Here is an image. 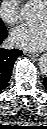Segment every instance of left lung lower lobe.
Listing matches in <instances>:
<instances>
[{
  "instance_id": "1",
  "label": "left lung lower lobe",
  "mask_w": 47,
  "mask_h": 129,
  "mask_svg": "<svg viewBox=\"0 0 47 129\" xmlns=\"http://www.w3.org/2000/svg\"><path fill=\"white\" fill-rule=\"evenodd\" d=\"M44 85H45V87L47 89V78L44 79Z\"/></svg>"
}]
</instances>
